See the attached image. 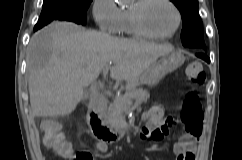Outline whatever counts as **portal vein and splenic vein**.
<instances>
[{"label":"portal vein and splenic vein","instance_id":"1","mask_svg":"<svg viewBox=\"0 0 242 160\" xmlns=\"http://www.w3.org/2000/svg\"><path fill=\"white\" fill-rule=\"evenodd\" d=\"M109 69H112V68H111V65H107V66H105V67L103 68V74H104V75H107ZM106 93H107V94H111V92H110L109 90L106 91Z\"/></svg>","mask_w":242,"mask_h":160}]
</instances>
